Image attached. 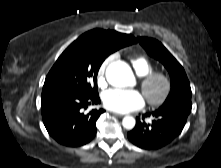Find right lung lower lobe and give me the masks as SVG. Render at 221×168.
<instances>
[{
    "instance_id": "right-lung-lower-lobe-1",
    "label": "right lung lower lobe",
    "mask_w": 221,
    "mask_h": 168,
    "mask_svg": "<svg viewBox=\"0 0 221 168\" xmlns=\"http://www.w3.org/2000/svg\"><path fill=\"white\" fill-rule=\"evenodd\" d=\"M99 95H85L69 89L43 88L41 113L44 125L58 143L76 147L90 142L96 135V121L104 109L82 112L90 104H99Z\"/></svg>"
}]
</instances>
